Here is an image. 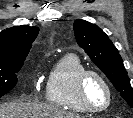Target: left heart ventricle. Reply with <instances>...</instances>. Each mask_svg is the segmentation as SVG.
Returning a JSON list of instances; mask_svg holds the SVG:
<instances>
[{"mask_svg":"<svg viewBox=\"0 0 133 118\" xmlns=\"http://www.w3.org/2000/svg\"><path fill=\"white\" fill-rule=\"evenodd\" d=\"M86 94L90 104L96 108L103 107L107 102V90L103 83L94 76L87 81Z\"/></svg>","mask_w":133,"mask_h":118,"instance_id":"b2bd125f","label":"left heart ventricle"}]
</instances>
